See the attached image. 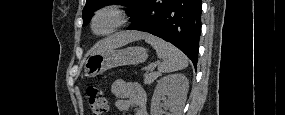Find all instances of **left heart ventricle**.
I'll list each match as a JSON object with an SVG mask.
<instances>
[{"mask_svg": "<svg viewBox=\"0 0 285 115\" xmlns=\"http://www.w3.org/2000/svg\"><path fill=\"white\" fill-rule=\"evenodd\" d=\"M113 24V18L109 15H103L96 24L97 30L103 31Z\"/></svg>", "mask_w": 285, "mask_h": 115, "instance_id": "b2bd125f", "label": "left heart ventricle"}]
</instances>
